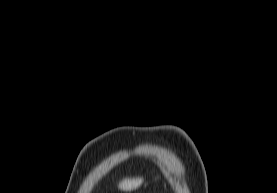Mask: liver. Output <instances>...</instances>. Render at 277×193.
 <instances>
[{"mask_svg": "<svg viewBox=\"0 0 277 193\" xmlns=\"http://www.w3.org/2000/svg\"><path fill=\"white\" fill-rule=\"evenodd\" d=\"M143 183V178H126L119 183L118 188L123 191H131L138 188Z\"/></svg>", "mask_w": 277, "mask_h": 193, "instance_id": "6515ba94", "label": "liver"}]
</instances>
